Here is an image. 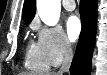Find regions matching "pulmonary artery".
<instances>
[{
    "label": "pulmonary artery",
    "instance_id": "obj_1",
    "mask_svg": "<svg viewBox=\"0 0 107 75\" xmlns=\"http://www.w3.org/2000/svg\"><path fill=\"white\" fill-rule=\"evenodd\" d=\"M63 6L68 11H73L76 7L74 0H63Z\"/></svg>",
    "mask_w": 107,
    "mask_h": 75
}]
</instances>
